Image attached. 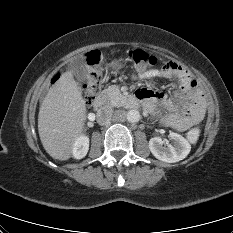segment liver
<instances>
[{"label": "liver", "mask_w": 233, "mask_h": 233, "mask_svg": "<svg viewBox=\"0 0 233 233\" xmlns=\"http://www.w3.org/2000/svg\"><path fill=\"white\" fill-rule=\"evenodd\" d=\"M86 104L71 71L63 73L45 96L38 115V132L46 152L65 161L82 135Z\"/></svg>", "instance_id": "1"}]
</instances>
